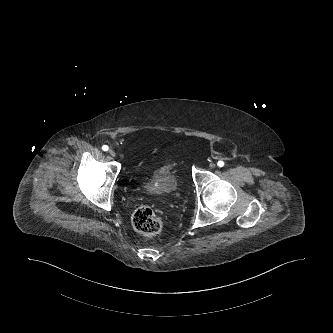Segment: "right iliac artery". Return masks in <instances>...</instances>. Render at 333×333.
<instances>
[{
    "label": "right iliac artery",
    "mask_w": 333,
    "mask_h": 333,
    "mask_svg": "<svg viewBox=\"0 0 333 333\" xmlns=\"http://www.w3.org/2000/svg\"><path fill=\"white\" fill-rule=\"evenodd\" d=\"M108 149H109V147H108L107 145H103V146H102V150H103V151H108Z\"/></svg>",
    "instance_id": "right-iliac-artery-1"
}]
</instances>
